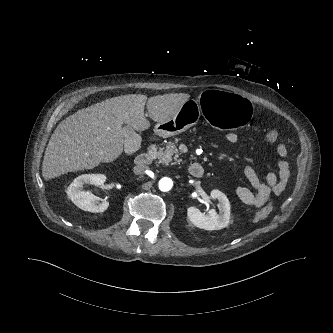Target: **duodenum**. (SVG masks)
<instances>
[{"instance_id":"obj_1","label":"duodenum","mask_w":333,"mask_h":333,"mask_svg":"<svg viewBox=\"0 0 333 333\" xmlns=\"http://www.w3.org/2000/svg\"><path fill=\"white\" fill-rule=\"evenodd\" d=\"M154 156L155 149L151 146L147 153L137 156L135 160L136 168L139 171L144 170L153 161ZM189 173L194 178H201L204 175V168L200 163L194 162L189 166Z\"/></svg>"}]
</instances>
